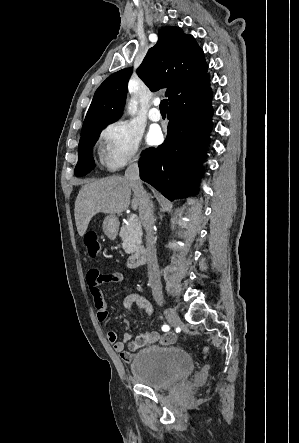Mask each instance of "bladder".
Segmentation results:
<instances>
[{
    "label": "bladder",
    "mask_w": 299,
    "mask_h": 443,
    "mask_svg": "<svg viewBox=\"0 0 299 443\" xmlns=\"http://www.w3.org/2000/svg\"><path fill=\"white\" fill-rule=\"evenodd\" d=\"M193 370L191 355L178 346H152L130 363L132 376L151 388H165L187 378Z\"/></svg>",
    "instance_id": "obj_1"
}]
</instances>
